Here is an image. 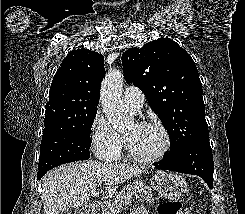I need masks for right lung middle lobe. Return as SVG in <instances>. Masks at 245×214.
<instances>
[{
	"label": "right lung middle lobe",
	"mask_w": 245,
	"mask_h": 214,
	"mask_svg": "<svg viewBox=\"0 0 245 214\" xmlns=\"http://www.w3.org/2000/svg\"><path fill=\"white\" fill-rule=\"evenodd\" d=\"M96 113L92 110L75 126L43 135L37 176L64 163L89 159L90 128Z\"/></svg>",
	"instance_id": "1"
}]
</instances>
